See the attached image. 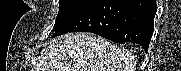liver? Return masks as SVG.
I'll list each match as a JSON object with an SVG mask.
<instances>
[{
  "label": "liver",
  "instance_id": "liver-1",
  "mask_svg": "<svg viewBox=\"0 0 181 71\" xmlns=\"http://www.w3.org/2000/svg\"><path fill=\"white\" fill-rule=\"evenodd\" d=\"M131 52L91 33L65 34L42 50L35 71H134Z\"/></svg>",
  "mask_w": 181,
  "mask_h": 71
}]
</instances>
